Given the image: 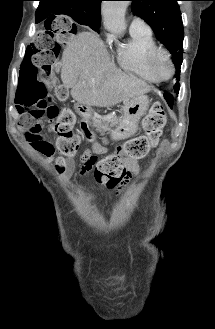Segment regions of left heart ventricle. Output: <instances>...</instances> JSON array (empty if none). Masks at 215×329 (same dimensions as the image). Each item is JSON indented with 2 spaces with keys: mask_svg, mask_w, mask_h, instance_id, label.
<instances>
[{
  "mask_svg": "<svg viewBox=\"0 0 215 329\" xmlns=\"http://www.w3.org/2000/svg\"><path fill=\"white\" fill-rule=\"evenodd\" d=\"M158 68L162 76H167L170 72V67L164 58L159 61Z\"/></svg>",
  "mask_w": 215,
  "mask_h": 329,
  "instance_id": "b2bd125f",
  "label": "left heart ventricle"
}]
</instances>
